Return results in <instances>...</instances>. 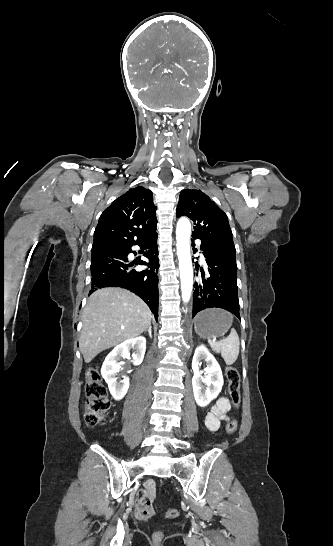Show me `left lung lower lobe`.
Listing matches in <instances>:
<instances>
[{"label":"left lung lower lobe","instance_id":"obj_1","mask_svg":"<svg viewBox=\"0 0 333 546\" xmlns=\"http://www.w3.org/2000/svg\"><path fill=\"white\" fill-rule=\"evenodd\" d=\"M201 241V250L208 266L206 272L209 277L194 283L192 316L194 317L201 310L217 307L233 313L240 319L236 258L205 240ZM223 264L228 265L229 270L220 273L218 269ZM198 268L199 266H196L197 270ZM201 272L204 274L203 269Z\"/></svg>","mask_w":333,"mask_h":546}]
</instances>
